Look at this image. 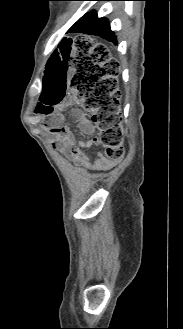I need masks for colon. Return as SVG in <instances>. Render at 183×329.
Returning <instances> with one entry per match:
<instances>
[{
    "instance_id": "1",
    "label": "colon",
    "mask_w": 183,
    "mask_h": 329,
    "mask_svg": "<svg viewBox=\"0 0 183 329\" xmlns=\"http://www.w3.org/2000/svg\"><path fill=\"white\" fill-rule=\"evenodd\" d=\"M61 55H43L46 81L40 86L44 94L39 108L55 116V109H83L89 113L99 131V139L105 147V158L114 162L122 158L123 132L119 102L112 96L114 82L102 78L101 73H120V66H103V62H116V55L103 54L102 47H94L95 37H61ZM57 128L56 126L51 129Z\"/></svg>"
}]
</instances>
